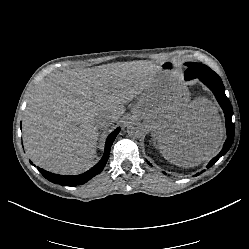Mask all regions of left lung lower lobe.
Returning <instances> with one entry per match:
<instances>
[{
	"instance_id": "obj_1",
	"label": "left lung lower lobe",
	"mask_w": 249,
	"mask_h": 249,
	"mask_svg": "<svg viewBox=\"0 0 249 249\" xmlns=\"http://www.w3.org/2000/svg\"><path fill=\"white\" fill-rule=\"evenodd\" d=\"M185 80H191V79L185 77ZM199 80H201L214 93L218 103L223 109V112L225 114V119H226L227 139L224 143V146L221 152L208 163L207 168H209L214 163H216L220 157H222L223 155L227 153V151L229 150L232 144L233 137H234V127L232 123L233 111H232L231 103L225 95V88L222 83V80L217 74H215L214 76L200 77ZM148 164L151 165L149 162ZM197 175H199V173L196 174V176Z\"/></svg>"
}]
</instances>
